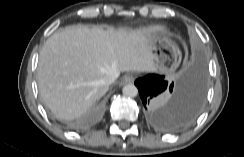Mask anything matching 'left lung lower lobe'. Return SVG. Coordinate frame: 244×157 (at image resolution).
<instances>
[{
	"label": "left lung lower lobe",
	"instance_id": "left-lung-lower-lobe-1",
	"mask_svg": "<svg viewBox=\"0 0 244 157\" xmlns=\"http://www.w3.org/2000/svg\"><path fill=\"white\" fill-rule=\"evenodd\" d=\"M147 118L163 131H176L199 115L205 98L206 76L202 64H196L174 81L148 74L135 81Z\"/></svg>",
	"mask_w": 244,
	"mask_h": 157
}]
</instances>
